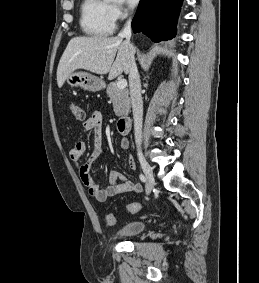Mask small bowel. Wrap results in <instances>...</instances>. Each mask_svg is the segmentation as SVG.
<instances>
[{"label": "small bowel", "mask_w": 259, "mask_h": 283, "mask_svg": "<svg viewBox=\"0 0 259 283\" xmlns=\"http://www.w3.org/2000/svg\"><path fill=\"white\" fill-rule=\"evenodd\" d=\"M82 126L84 130L92 132L94 149L91 155L84 162L80 163V160L86 151V144L84 141H78L69 150V158L77 165L79 177L82 183L87 187L89 194L99 202H105L111 197L122 193H141L143 188L140 183L130 181L123 173L116 171H109V186L105 189H101L95 183L91 175V167L100 158L102 152L103 134L101 113L99 111H94L83 121ZM119 146L121 150L126 151L129 147L128 140L122 138L119 141ZM126 162L130 169H135V161L132 156L128 155L126 157Z\"/></svg>", "instance_id": "obj_1"}]
</instances>
